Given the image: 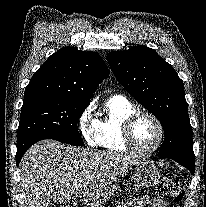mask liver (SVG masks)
I'll list each match as a JSON object with an SVG mask.
<instances>
[{
  "mask_svg": "<svg viewBox=\"0 0 206 207\" xmlns=\"http://www.w3.org/2000/svg\"><path fill=\"white\" fill-rule=\"evenodd\" d=\"M137 163L136 158L77 148L54 140L34 144L19 165L25 207H47L51 201L85 197L90 207H102L113 183Z\"/></svg>",
  "mask_w": 206,
  "mask_h": 207,
  "instance_id": "1",
  "label": "liver"
}]
</instances>
